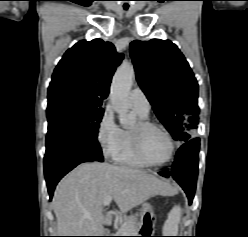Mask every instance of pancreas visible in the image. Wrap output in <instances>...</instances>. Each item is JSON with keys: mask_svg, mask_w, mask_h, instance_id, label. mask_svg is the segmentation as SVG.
I'll return each mask as SVG.
<instances>
[{"mask_svg": "<svg viewBox=\"0 0 248 237\" xmlns=\"http://www.w3.org/2000/svg\"><path fill=\"white\" fill-rule=\"evenodd\" d=\"M140 230V224L125 219L117 232V236H137Z\"/></svg>", "mask_w": 248, "mask_h": 237, "instance_id": "1", "label": "pancreas"}]
</instances>
